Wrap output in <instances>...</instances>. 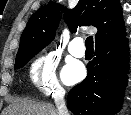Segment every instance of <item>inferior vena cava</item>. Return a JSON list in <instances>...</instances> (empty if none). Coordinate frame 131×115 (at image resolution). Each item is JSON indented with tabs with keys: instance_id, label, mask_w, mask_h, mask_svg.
Instances as JSON below:
<instances>
[{
	"instance_id": "inferior-vena-cava-1",
	"label": "inferior vena cava",
	"mask_w": 131,
	"mask_h": 115,
	"mask_svg": "<svg viewBox=\"0 0 131 115\" xmlns=\"http://www.w3.org/2000/svg\"><path fill=\"white\" fill-rule=\"evenodd\" d=\"M65 92L61 91L55 94L54 100L58 109L59 115H69L64 100Z\"/></svg>"
}]
</instances>
